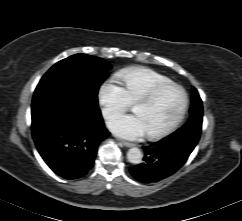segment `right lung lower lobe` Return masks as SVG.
I'll list each match as a JSON object with an SVG mask.
<instances>
[{
	"label": "right lung lower lobe",
	"instance_id": "98d812e1",
	"mask_svg": "<svg viewBox=\"0 0 242 221\" xmlns=\"http://www.w3.org/2000/svg\"><path fill=\"white\" fill-rule=\"evenodd\" d=\"M31 128L46 164L66 179L84 176L100 142L110 135L99 108L85 109L71 95L32 107Z\"/></svg>",
	"mask_w": 242,
	"mask_h": 221
}]
</instances>
